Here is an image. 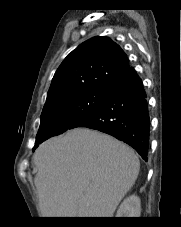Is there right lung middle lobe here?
Listing matches in <instances>:
<instances>
[{"mask_svg":"<svg viewBox=\"0 0 181 227\" xmlns=\"http://www.w3.org/2000/svg\"><path fill=\"white\" fill-rule=\"evenodd\" d=\"M109 88L93 90L53 101L43 108L34 149L52 136L78 127L105 103Z\"/></svg>","mask_w":181,"mask_h":227,"instance_id":"1","label":"right lung middle lobe"}]
</instances>
